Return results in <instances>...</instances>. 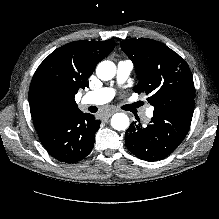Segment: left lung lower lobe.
<instances>
[{
  "instance_id": "obj_1",
  "label": "left lung lower lobe",
  "mask_w": 219,
  "mask_h": 219,
  "mask_svg": "<svg viewBox=\"0 0 219 219\" xmlns=\"http://www.w3.org/2000/svg\"><path fill=\"white\" fill-rule=\"evenodd\" d=\"M194 107L178 111H154L147 127L131 123L125 144L138 158L156 161L171 154L185 138Z\"/></svg>"
}]
</instances>
